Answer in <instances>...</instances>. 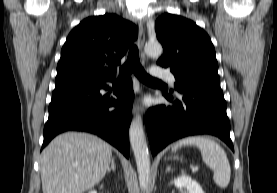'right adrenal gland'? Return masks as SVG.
Segmentation results:
<instances>
[{"instance_id": "right-adrenal-gland-1", "label": "right adrenal gland", "mask_w": 277, "mask_h": 193, "mask_svg": "<svg viewBox=\"0 0 277 193\" xmlns=\"http://www.w3.org/2000/svg\"><path fill=\"white\" fill-rule=\"evenodd\" d=\"M111 170L115 171L116 170V167H115V162H114V158H112L111 160V167L108 168V172H110Z\"/></svg>"}]
</instances>
